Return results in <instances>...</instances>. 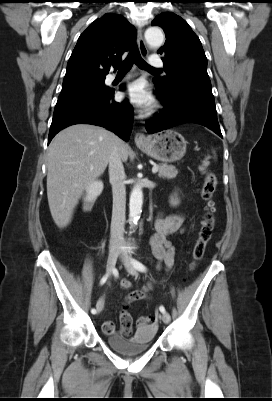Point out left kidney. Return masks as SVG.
<instances>
[{"instance_id":"obj_1","label":"left kidney","mask_w":272,"mask_h":401,"mask_svg":"<svg viewBox=\"0 0 272 401\" xmlns=\"http://www.w3.org/2000/svg\"><path fill=\"white\" fill-rule=\"evenodd\" d=\"M171 204H173V205H177L178 204V200L175 198H171Z\"/></svg>"}]
</instances>
